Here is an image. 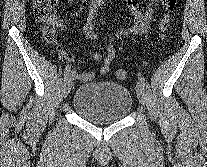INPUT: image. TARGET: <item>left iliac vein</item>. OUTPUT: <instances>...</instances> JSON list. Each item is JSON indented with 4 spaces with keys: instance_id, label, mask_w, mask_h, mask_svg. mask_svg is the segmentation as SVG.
I'll use <instances>...</instances> for the list:
<instances>
[{
    "instance_id": "obj_1",
    "label": "left iliac vein",
    "mask_w": 207,
    "mask_h": 167,
    "mask_svg": "<svg viewBox=\"0 0 207 167\" xmlns=\"http://www.w3.org/2000/svg\"><path fill=\"white\" fill-rule=\"evenodd\" d=\"M136 90H137V96L139 101L141 102V104L144 105L146 101V94H145L144 86L140 81L137 82Z\"/></svg>"
}]
</instances>
